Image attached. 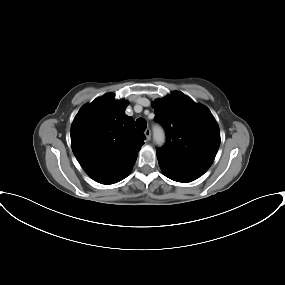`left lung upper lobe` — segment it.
<instances>
[{"label":"left lung upper lobe","mask_w":285,"mask_h":285,"mask_svg":"<svg viewBox=\"0 0 285 285\" xmlns=\"http://www.w3.org/2000/svg\"><path fill=\"white\" fill-rule=\"evenodd\" d=\"M152 107L155 121L164 126L167 135L157 154L206 171L220 145V130L209 109L180 92L156 100Z\"/></svg>","instance_id":"5c2ea615"}]
</instances>
